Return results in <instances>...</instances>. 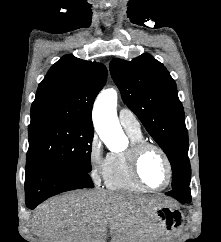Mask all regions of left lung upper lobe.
Here are the masks:
<instances>
[{"label": "left lung upper lobe", "instance_id": "obj_1", "mask_svg": "<svg viewBox=\"0 0 221 242\" xmlns=\"http://www.w3.org/2000/svg\"><path fill=\"white\" fill-rule=\"evenodd\" d=\"M110 72L125 104L167 155L172 167V189L189 186L188 132L170 73L148 53L132 61L113 59Z\"/></svg>", "mask_w": 221, "mask_h": 242}]
</instances>
